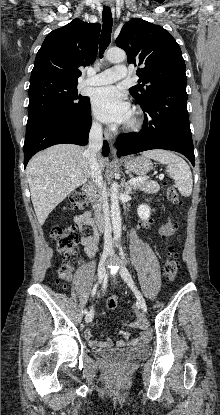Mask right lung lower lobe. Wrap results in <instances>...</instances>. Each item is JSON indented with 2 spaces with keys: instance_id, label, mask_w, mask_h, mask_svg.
<instances>
[{
  "instance_id": "98d812e1",
  "label": "right lung lower lobe",
  "mask_w": 220,
  "mask_h": 415,
  "mask_svg": "<svg viewBox=\"0 0 220 415\" xmlns=\"http://www.w3.org/2000/svg\"><path fill=\"white\" fill-rule=\"evenodd\" d=\"M90 103L85 111L74 119L54 113L33 122L26 127L24 142V167L30 158L40 150L55 144L71 143L86 145L91 127ZM103 156H108L109 145L104 141Z\"/></svg>"
}]
</instances>
